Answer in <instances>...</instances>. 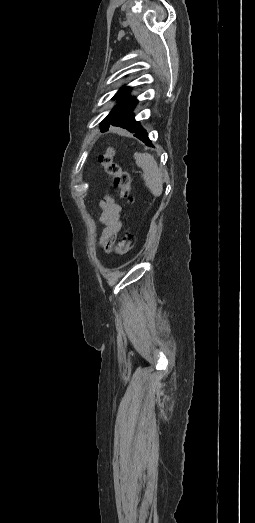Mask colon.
I'll return each mask as SVG.
<instances>
[{
  "label": "colon",
  "mask_w": 255,
  "mask_h": 523,
  "mask_svg": "<svg viewBox=\"0 0 255 523\" xmlns=\"http://www.w3.org/2000/svg\"><path fill=\"white\" fill-rule=\"evenodd\" d=\"M99 161L108 175L113 177L114 186L118 197L125 203L131 200L132 180L128 171L124 170L114 161V148L109 147L99 157ZM133 234L126 230L115 245V253L119 255L127 254L133 247Z\"/></svg>",
  "instance_id": "1"
}]
</instances>
